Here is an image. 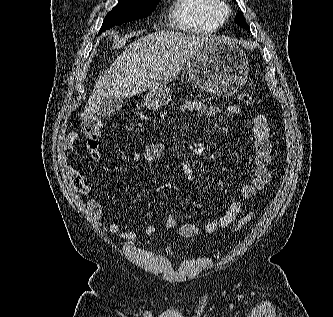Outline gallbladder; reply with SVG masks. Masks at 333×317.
<instances>
[{"label":"gallbladder","mask_w":333,"mask_h":317,"mask_svg":"<svg viewBox=\"0 0 333 317\" xmlns=\"http://www.w3.org/2000/svg\"><path fill=\"white\" fill-rule=\"evenodd\" d=\"M124 99L121 97L113 96L105 99L97 111L99 116H111L117 114L123 105Z\"/></svg>","instance_id":"bac80fb5"}]
</instances>
